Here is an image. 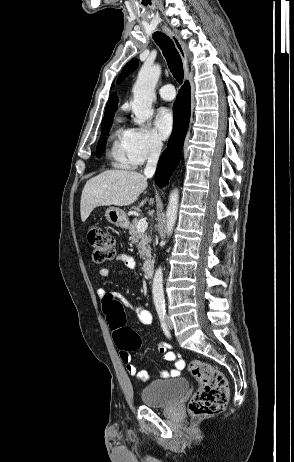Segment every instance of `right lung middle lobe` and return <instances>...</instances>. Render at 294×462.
<instances>
[{"mask_svg": "<svg viewBox=\"0 0 294 462\" xmlns=\"http://www.w3.org/2000/svg\"><path fill=\"white\" fill-rule=\"evenodd\" d=\"M113 116L114 115H109V116H105L103 118L102 126H101V130H102L103 134L108 133V131H109L110 127H111V122H112ZM105 144H106V141L103 139V137H101L100 140H99L98 146H97V151H98L97 154H99V152L104 151Z\"/></svg>", "mask_w": 294, "mask_h": 462, "instance_id": "1", "label": "right lung middle lobe"}]
</instances>
